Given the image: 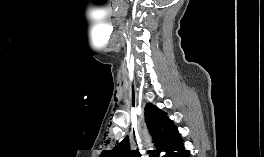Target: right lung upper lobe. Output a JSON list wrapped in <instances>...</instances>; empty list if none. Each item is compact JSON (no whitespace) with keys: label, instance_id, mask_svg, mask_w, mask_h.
<instances>
[{"label":"right lung upper lobe","instance_id":"right-lung-upper-lobe-1","mask_svg":"<svg viewBox=\"0 0 264 157\" xmlns=\"http://www.w3.org/2000/svg\"><path fill=\"white\" fill-rule=\"evenodd\" d=\"M145 119L153 136V143L158 151L167 152L176 142L182 139L167 114L150 103L145 107ZM153 156L152 154L150 155V157ZM100 157H140V153L138 150L130 149L129 138L126 137L113 150L103 151Z\"/></svg>","mask_w":264,"mask_h":157}]
</instances>
